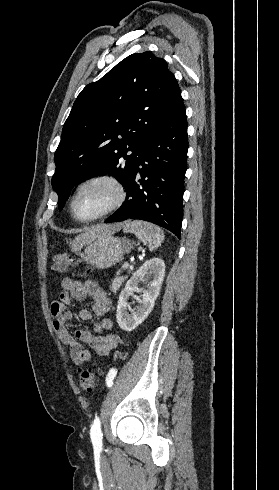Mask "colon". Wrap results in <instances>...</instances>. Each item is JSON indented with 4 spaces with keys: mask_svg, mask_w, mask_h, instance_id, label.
Segmentation results:
<instances>
[{
    "mask_svg": "<svg viewBox=\"0 0 279 490\" xmlns=\"http://www.w3.org/2000/svg\"><path fill=\"white\" fill-rule=\"evenodd\" d=\"M72 263L80 264L81 261H78L71 254L63 252L54 256L52 267L56 272L64 274ZM95 383L96 377L92 369H84L81 371L78 378V384L82 391L91 392L95 387Z\"/></svg>",
    "mask_w": 279,
    "mask_h": 490,
    "instance_id": "5ec220e1",
    "label": "colon"
}]
</instances>
